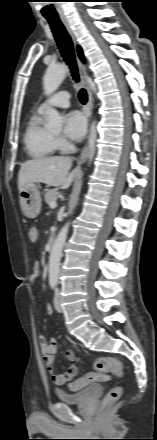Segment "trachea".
<instances>
[{"label":"trachea","instance_id":"trachea-1","mask_svg":"<svg viewBox=\"0 0 157 440\" xmlns=\"http://www.w3.org/2000/svg\"><path fill=\"white\" fill-rule=\"evenodd\" d=\"M54 38L57 42L60 53L66 62V64L70 67L71 74L73 79L76 82H79V74L75 60L73 42L71 40L70 35L66 31L63 23L59 18H46ZM78 98L82 104H85L88 100L87 92L85 89H81L78 93Z\"/></svg>","mask_w":157,"mask_h":440}]
</instances>
